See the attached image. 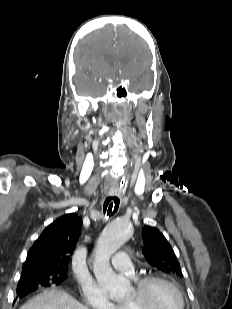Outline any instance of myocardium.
Instances as JSON below:
<instances>
[{
    "instance_id": "f54148a6",
    "label": "myocardium",
    "mask_w": 232,
    "mask_h": 309,
    "mask_svg": "<svg viewBox=\"0 0 232 309\" xmlns=\"http://www.w3.org/2000/svg\"><path fill=\"white\" fill-rule=\"evenodd\" d=\"M154 283H164L173 288L180 297V309H185L186 300L180 287L169 278L155 274L143 275L135 281L133 296L126 301L131 309H153L150 305L149 291Z\"/></svg>"
}]
</instances>
